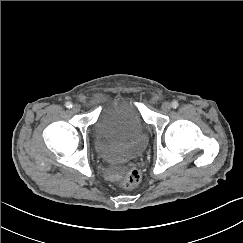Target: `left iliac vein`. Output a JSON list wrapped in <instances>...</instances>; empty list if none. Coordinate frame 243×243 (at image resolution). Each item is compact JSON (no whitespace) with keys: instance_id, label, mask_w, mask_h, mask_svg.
I'll list each match as a JSON object with an SVG mask.
<instances>
[{"instance_id":"left-iliac-vein-1","label":"left iliac vein","mask_w":243,"mask_h":243,"mask_svg":"<svg viewBox=\"0 0 243 243\" xmlns=\"http://www.w3.org/2000/svg\"><path fill=\"white\" fill-rule=\"evenodd\" d=\"M161 108L164 112H168L171 109V104L169 102H164Z\"/></svg>"}]
</instances>
